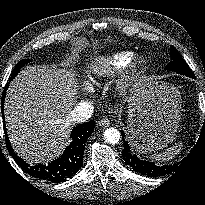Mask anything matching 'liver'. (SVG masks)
Instances as JSON below:
<instances>
[{"instance_id":"1","label":"liver","mask_w":205,"mask_h":205,"mask_svg":"<svg viewBox=\"0 0 205 205\" xmlns=\"http://www.w3.org/2000/svg\"><path fill=\"white\" fill-rule=\"evenodd\" d=\"M73 77L62 69L29 67L11 82L5 120L20 157L40 162L61 153L68 135L67 118L75 102Z\"/></svg>"}]
</instances>
